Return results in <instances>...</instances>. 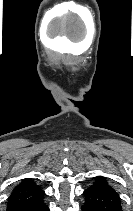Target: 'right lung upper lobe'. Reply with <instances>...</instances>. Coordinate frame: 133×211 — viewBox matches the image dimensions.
<instances>
[{"instance_id": "right-lung-upper-lobe-1", "label": "right lung upper lobe", "mask_w": 133, "mask_h": 211, "mask_svg": "<svg viewBox=\"0 0 133 211\" xmlns=\"http://www.w3.org/2000/svg\"><path fill=\"white\" fill-rule=\"evenodd\" d=\"M44 191L32 179H23L12 191L7 202V211L22 208L40 201Z\"/></svg>"}]
</instances>
